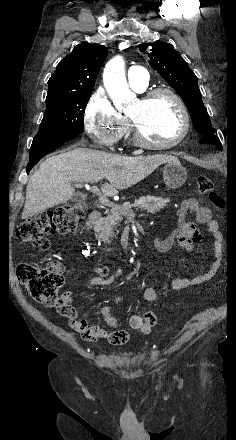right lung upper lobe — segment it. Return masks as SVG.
<instances>
[{
    "instance_id": "1",
    "label": "right lung upper lobe",
    "mask_w": 236,
    "mask_h": 440,
    "mask_svg": "<svg viewBox=\"0 0 236 440\" xmlns=\"http://www.w3.org/2000/svg\"><path fill=\"white\" fill-rule=\"evenodd\" d=\"M108 54L104 46L79 44L56 67L48 81L46 103L91 93Z\"/></svg>"
}]
</instances>
